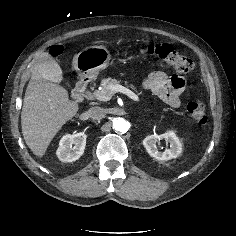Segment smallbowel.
Listing matches in <instances>:
<instances>
[{
    "label": "small bowel",
    "instance_id": "c3829d8e",
    "mask_svg": "<svg viewBox=\"0 0 236 236\" xmlns=\"http://www.w3.org/2000/svg\"><path fill=\"white\" fill-rule=\"evenodd\" d=\"M143 88L171 107L178 108L181 105L180 95L184 91L185 80L177 75L168 76L162 71H155L143 81Z\"/></svg>",
    "mask_w": 236,
    "mask_h": 236
}]
</instances>
